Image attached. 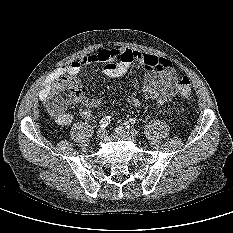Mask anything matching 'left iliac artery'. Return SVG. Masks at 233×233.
I'll list each match as a JSON object with an SVG mask.
<instances>
[{"label": "left iliac artery", "mask_w": 233, "mask_h": 233, "mask_svg": "<svg viewBox=\"0 0 233 233\" xmlns=\"http://www.w3.org/2000/svg\"><path fill=\"white\" fill-rule=\"evenodd\" d=\"M136 121H137L136 118H131L129 123L134 125L136 124Z\"/></svg>", "instance_id": "left-iliac-artery-1"}]
</instances>
